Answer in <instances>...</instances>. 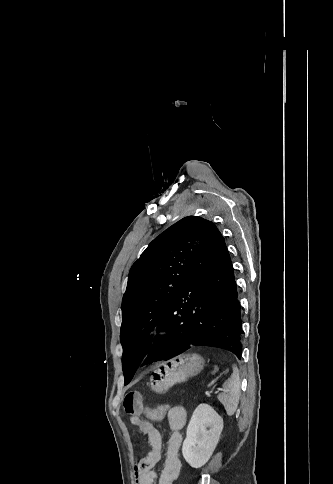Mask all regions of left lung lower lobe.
Here are the masks:
<instances>
[{"mask_svg":"<svg viewBox=\"0 0 333 484\" xmlns=\"http://www.w3.org/2000/svg\"><path fill=\"white\" fill-rule=\"evenodd\" d=\"M156 326L158 331L170 333L162 338L169 345L154 351L149 344L144 363L171 359L193 345L223 348L241 358V307L234 269L224 238L214 224L189 261Z\"/></svg>","mask_w":333,"mask_h":484,"instance_id":"1","label":"left lung lower lobe"}]
</instances>
